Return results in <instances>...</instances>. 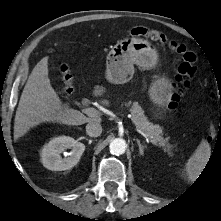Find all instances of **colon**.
I'll list each match as a JSON object with an SVG mask.
<instances>
[{"label": "colon", "instance_id": "5ec220e1", "mask_svg": "<svg viewBox=\"0 0 221 221\" xmlns=\"http://www.w3.org/2000/svg\"><path fill=\"white\" fill-rule=\"evenodd\" d=\"M130 35L135 38H148L152 41L167 44L169 49L181 56L182 62L178 68L177 74L171 84L172 92L169 96L167 109L170 112H176L179 101L189 87L190 80L197 72L198 56L189 50L184 44L168 41L167 38L159 31L145 27H135L131 30ZM60 71L66 83V88L72 90L73 76L69 68L65 65L60 66Z\"/></svg>", "mask_w": 221, "mask_h": 221}]
</instances>
